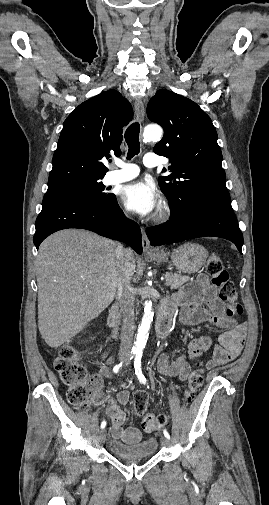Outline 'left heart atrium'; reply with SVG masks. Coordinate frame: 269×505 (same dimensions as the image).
I'll return each instance as SVG.
<instances>
[{
	"label": "left heart atrium",
	"instance_id": "obj_1",
	"mask_svg": "<svg viewBox=\"0 0 269 505\" xmlns=\"http://www.w3.org/2000/svg\"><path fill=\"white\" fill-rule=\"evenodd\" d=\"M121 200L128 210L143 216L152 214L160 205L158 192L148 181H136L123 187Z\"/></svg>",
	"mask_w": 269,
	"mask_h": 505
}]
</instances>
